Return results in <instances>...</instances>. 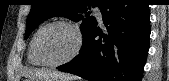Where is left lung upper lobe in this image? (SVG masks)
Listing matches in <instances>:
<instances>
[{
	"mask_svg": "<svg viewBox=\"0 0 169 81\" xmlns=\"http://www.w3.org/2000/svg\"><path fill=\"white\" fill-rule=\"evenodd\" d=\"M88 1L94 2L92 4ZM104 0H32V8L27 18L25 39L43 21L54 16H64L73 21L82 20L81 32L83 39L96 24V19L89 14L86 18L82 13L87 12L91 6H100Z\"/></svg>",
	"mask_w": 169,
	"mask_h": 81,
	"instance_id": "1",
	"label": "left lung upper lobe"
}]
</instances>
